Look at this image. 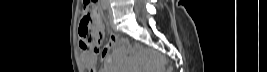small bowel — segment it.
<instances>
[{"mask_svg": "<svg viewBox=\"0 0 267 72\" xmlns=\"http://www.w3.org/2000/svg\"><path fill=\"white\" fill-rule=\"evenodd\" d=\"M118 42V38L114 35L110 37L109 43L104 46V48L99 51L98 49L93 52H84L81 56L82 62L89 71L96 72V60L100 56L102 62L107 65L111 61L110 51L113 46ZM99 72H109L107 67L99 70Z\"/></svg>", "mask_w": 267, "mask_h": 72, "instance_id": "obj_1", "label": "small bowel"}]
</instances>
